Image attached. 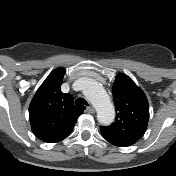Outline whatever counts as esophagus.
Returning <instances> with one entry per match:
<instances>
[{"mask_svg": "<svg viewBox=\"0 0 176 176\" xmlns=\"http://www.w3.org/2000/svg\"><path fill=\"white\" fill-rule=\"evenodd\" d=\"M87 111L91 114L95 113V109L92 106L87 107Z\"/></svg>", "mask_w": 176, "mask_h": 176, "instance_id": "esophagus-1", "label": "esophagus"}]
</instances>
